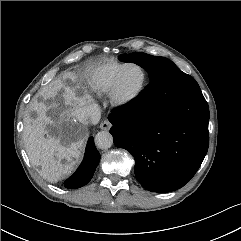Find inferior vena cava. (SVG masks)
I'll return each instance as SVG.
<instances>
[{
  "label": "inferior vena cava",
  "instance_id": "1",
  "mask_svg": "<svg viewBox=\"0 0 241 241\" xmlns=\"http://www.w3.org/2000/svg\"><path fill=\"white\" fill-rule=\"evenodd\" d=\"M85 122L98 121L101 117L100 107L95 104H89L82 109Z\"/></svg>",
  "mask_w": 241,
  "mask_h": 241
}]
</instances>
